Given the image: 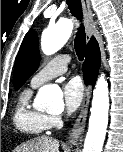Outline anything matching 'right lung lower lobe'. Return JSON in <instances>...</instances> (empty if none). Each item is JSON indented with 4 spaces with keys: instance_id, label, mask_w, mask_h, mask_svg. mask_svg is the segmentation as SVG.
Here are the masks:
<instances>
[{
    "instance_id": "obj_1",
    "label": "right lung lower lobe",
    "mask_w": 123,
    "mask_h": 152,
    "mask_svg": "<svg viewBox=\"0 0 123 152\" xmlns=\"http://www.w3.org/2000/svg\"><path fill=\"white\" fill-rule=\"evenodd\" d=\"M100 65V50L95 38H91L87 46L86 60L83 63V77L86 84H95Z\"/></svg>"
}]
</instances>
